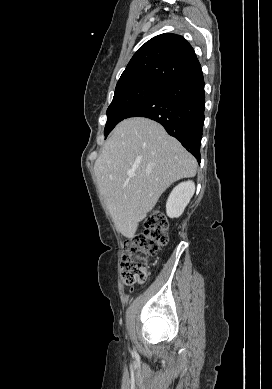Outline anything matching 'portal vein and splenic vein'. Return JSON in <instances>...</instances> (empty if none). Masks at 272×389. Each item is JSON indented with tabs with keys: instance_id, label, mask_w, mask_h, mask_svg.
<instances>
[{
	"instance_id": "1",
	"label": "portal vein and splenic vein",
	"mask_w": 272,
	"mask_h": 389,
	"mask_svg": "<svg viewBox=\"0 0 272 389\" xmlns=\"http://www.w3.org/2000/svg\"><path fill=\"white\" fill-rule=\"evenodd\" d=\"M127 174H128L129 177H133L134 176L133 172H128Z\"/></svg>"
}]
</instances>
